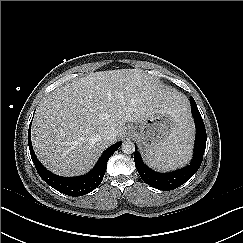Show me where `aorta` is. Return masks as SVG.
Instances as JSON below:
<instances>
[{
  "label": "aorta",
  "mask_w": 243,
  "mask_h": 243,
  "mask_svg": "<svg viewBox=\"0 0 243 243\" xmlns=\"http://www.w3.org/2000/svg\"><path fill=\"white\" fill-rule=\"evenodd\" d=\"M121 149L125 154H132L135 151V145L131 141H125L122 143Z\"/></svg>",
  "instance_id": "aorta-1"
}]
</instances>
